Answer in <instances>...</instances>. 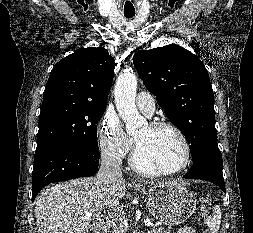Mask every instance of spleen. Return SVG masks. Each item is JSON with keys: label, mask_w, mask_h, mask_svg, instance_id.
<instances>
[{"label": "spleen", "mask_w": 253, "mask_h": 233, "mask_svg": "<svg viewBox=\"0 0 253 233\" xmlns=\"http://www.w3.org/2000/svg\"><path fill=\"white\" fill-rule=\"evenodd\" d=\"M206 222L212 233H218L221 223V211L219 205L214 206L213 213L206 219Z\"/></svg>", "instance_id": "obj_1"}]
</instances>
